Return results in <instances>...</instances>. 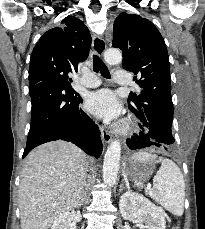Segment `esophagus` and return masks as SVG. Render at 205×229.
<instances>
[{"instance_id":"1","label":"esophagus","mask_w":205,"mask_h":229,"mask_svg":"<svg viewBox=\"0 0 205 229\" xmlns=\"http://www.w3.org/2000/svg\"><path fill=\"white\" fill-rule=\"evenodd\" d=\"M92 47L95 54H97L99 57H103L104 51L106 49V43L102 37L94 34L92 37ZM100 131L103 142L110 143L111 134L106 129V127L101 126Z\"/></svg>"}]
</instances>
